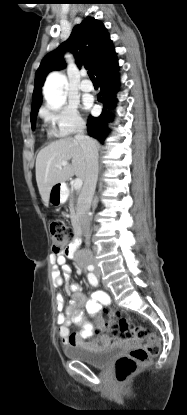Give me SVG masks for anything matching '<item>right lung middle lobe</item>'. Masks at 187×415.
<instances>
[{
  "label": "right lung middle lobe",
  "instance_id": "obj_1",
  "mask_svg": "<svg viewBox=\"0 0 187 415\" xmlns=\"http://www.w3.org/2000/svg\"><path fill=\"white\" fill-rule=\"evenodd\" d=\"M37 113H38V109H36L35 111L31 112V126H32V130L35 129V123H36Z\"/></svg>",
  "mask_w": 187,
  "mask_h": 415
}]
</instances>
